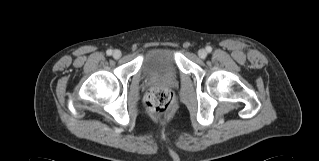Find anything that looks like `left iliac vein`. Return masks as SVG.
<instances>
[{"instance_id": "4c4485c4", "label": "left iliac vein", "mask_w": 319, "mask_h": 161, "mask_svg": "<svg viewBox=\"0 0 319 161\" xmlns=\"http://www.w3.org/2000/svg\"><path fill=\"white\" fill-rule=\"evenodd\" d=\"M198 56H199L201 59L206 58V56H207L206 50H205V49H200V50L198 51Z\"/></svg>"}]
</instances>
